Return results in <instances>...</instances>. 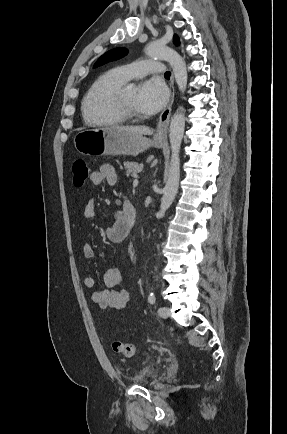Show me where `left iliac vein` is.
Instances as JSON below:
<instances>
[{"mask_svg": "<svg viewBox=\"0 0 287 434\" xmlns=\"http://www.w3.org/2000/svg\"><path fill=\"white\" fill-rule=\"evenodd\" d=\"M158 315L163 319H167L169 316V308L166 306H161L158 309Z\"/></svg>", "mask_w": 287, "mask_h": 434, "instance_id": "1", "label": "left iliac vein"}]
</instances>
